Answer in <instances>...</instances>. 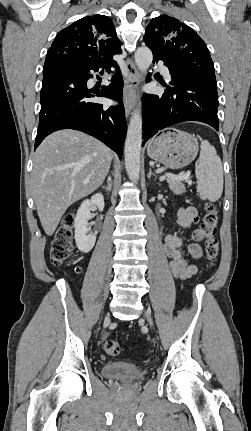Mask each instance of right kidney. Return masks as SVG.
Wrapping results in <instances>:
<instances>
[{
    "mask_svg": "<svg viewBox=\"0 0 251 431\" xmlns=\"http://www.w3.org/2000/svg\"><path fill=\"white\" fill-rule=\"evenodd\" d=\"M96 206L99 211L104 209V197L101 193H97L81 203L74 220L75 226V241L78 249L83 253H88L92 250L96 242V236L89 231L88 220L91 218L90 208Z\"/></svg>",
    "mask_w": 251,
    "mask_h": 431,
    "instance_id": "ca27d5eb",
    "label": "right kidney"
}]
</instances>
